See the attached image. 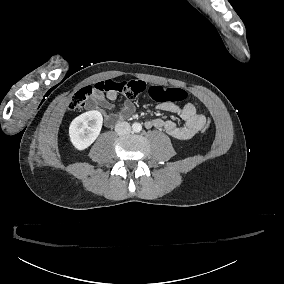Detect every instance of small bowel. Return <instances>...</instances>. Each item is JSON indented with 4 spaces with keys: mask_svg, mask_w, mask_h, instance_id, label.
I'll return each mask as SVG.
<instances>
[{
    "mask_svg": "<svg viewBox=\"0 0 284 284\" xmlns=\"http://www.w3.org/2000/svg\"><path fill=\"white\" fill-rule=\"evenodd\" d=\"M117 98V93L109 92L106 97L102 95H96L92 100L91 107L101 110H110L112 105L110 101H114ZM157 108L161 111L177 114L183 121V125L170 120L153 119L146 123L147 128H163L165 132L174 139L188 140L197 134L205 125V116L198 112L193 104H186L182 107L172 103H160ZM135 111V105L132 100H126L123 103L122 109L119 113L121 118L130 116ZM108 117L109 114L105 113Z\"/></svg>",
    "mask_w": 284,
    "mask_h": 284,
    "instance_id": "small-bowel-1",
    "label": "small bowel"
}]
</instances>
